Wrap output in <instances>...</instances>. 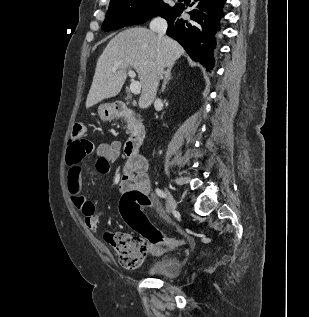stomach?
Returning a JSON list of instances; mask_svg holds the SVG:
<instances>
[{
	"instance_id": "stomach-1",
	"label": "stomach",
	"mask_w": 309,
	"mask_h": 317,
	"mask_svg": "<svg viewBox=\"0 0 309 317\" xmlns=\"http://www.w3.org/2000/svg\"><path fill=\"white\" fill-rule=\"evenodd\" d=\"M98 113L103 121H110L118 117V112L115 107L111 104H102L98 108Z\"/></svg>"
}]
</instances>
